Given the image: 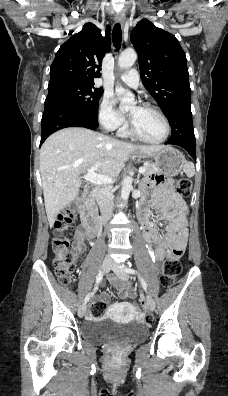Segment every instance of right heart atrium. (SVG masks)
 <instances>
[{"instance_id": "d8ad5b80", "label": "right heart atrium", "mask_w": 228, "mask_h": 396, "mask_svg": "<svg viewBox=\"0 0 228 396\" xmlns=\"http://www.w3.org/2000/svg\"><path fill=\"white\" fill-rule=\"evenodd\" d=\"M99 122L107 131H120L127 125L124 117L114 108L109 95H104L98 112Z\"/></svg>"}]
</instances>
